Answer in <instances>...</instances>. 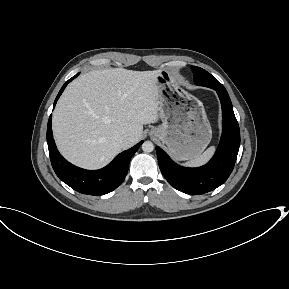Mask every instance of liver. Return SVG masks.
<instances>
[{"mask_svg": "<svg viewBox=\"0 0 289 289\" xmlns=\"http://www.w3.org/2000/svg\"><path fill=\"white\" fill-rule=\"evenodd\" d=\"M160 70L90 71L71 82L53 113L57 147L70 162L88 169L109 163L139 142L143 125L159 119ZM126 136L123 144L119 136Z\"/></svg>", "mask_w": 289, "mask_h": 289, "instance_id": "liver-1", "label": "liver"}]
</instances>
